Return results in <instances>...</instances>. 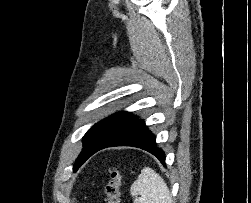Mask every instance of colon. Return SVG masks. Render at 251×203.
<instances>
[{
  "mask_svg": "<svg viewBox=\"0 0 251 203\" xmlns=\"http://www.w3.org/2000/svg\"><path fill=\"white\" fill-rule=\"evenodd\" d=\"M122 182V172L118 167L109 168V179L105 183L104 203H121L120 186Z\"/></svg>",
  "mask_w": 251,
  "mask_h": 203,
  "instance_id": "1",
  "label": "colon"
}]
</instances>
